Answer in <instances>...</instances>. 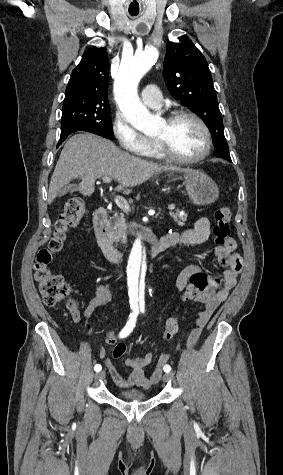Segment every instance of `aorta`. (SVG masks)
Listing matches in <instances>:
<instances>
[{
  "instance_id": "1",
  "label": "aorta",
  "mask_w": 283,
  "mask_h": 475,
  "mask_svg": "<svg viewBox=\"0 0 283 475\" xmlns=\"http://www.w3.org/2000/svg\"><path fill=\"white\" fill-rule=\"evenodd\" d=\"M158 56V50L150 46L142 52L135 53L132 58L122 60L114 82V94L121 112L137 130L147 135L158 132L161 120L152 115L142 104L137 88L141 78L155 64ZM146 221L148 218L144 217L143 223ZM147 233L146 226H138L137 238L128 258V295L132 308H139L145 304L147 259L144 241Z\"/></svg>"
}]
</instances>
